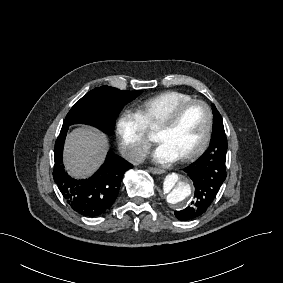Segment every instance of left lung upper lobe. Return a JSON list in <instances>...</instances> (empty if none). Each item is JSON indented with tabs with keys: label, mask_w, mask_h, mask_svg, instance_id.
Wrapping results in <instances>:
<instances>
[{
	"label": "left lung upper lobe",
	"mask_w": 283,
	"mask_h": 283,
	"mask_svg": "<svg viewBox=\"0 0 283 283\" xmlns=\"http://www.w3.org/2000/svg\"><path fill=\"white\" fill-rule=\"evenodd\" d=\"M212 111H213L214 119L222 120L221 115L218 112V110L216 109L214 104H212Z\"/></svg>",
	"instance_id": "left-lung-upper-lobe-1"
}]
</instances>
